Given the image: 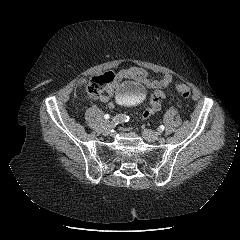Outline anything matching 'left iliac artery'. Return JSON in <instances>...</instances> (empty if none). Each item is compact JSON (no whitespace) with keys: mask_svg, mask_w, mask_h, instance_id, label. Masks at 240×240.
<instances>
[{"mask_svg":"<svg viewBox=\"0 0 240 240\" xmlns=\"http://www.w3.org/2000/svg\"><path fill=\"white\" fill-rule=\"evenodd\" d=\"M168 132H163V133H159L158 134V137L161 139V140H164L166 137H168Z\"/></svg>","mask_w":240,"mask_h":240,"instance_id":"obj_1","label":"left iliac artery"}]
</instances>
